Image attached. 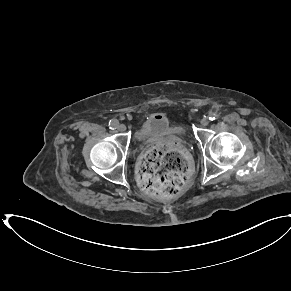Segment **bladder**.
Listing matches in <instances>:
<instances>
[{"instance_id": "1", "label": "bladder", "mask_w": 291, "mask_h": 291, "mask_svg": "<svg viewBox=\"0 0 291 291\" xmlns=\"http://www.w3.org/2000/svg\"><path fill=\"white\" fill-rule=\"evenodd\" d=\"M184 131L182 125L173 124L168 116L159 114L145 119L137 129L139 138H158L165 135L180 136Z\"/></svg>"}]
</instances>
